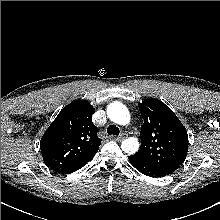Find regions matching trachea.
<instances>
[{"mask_svg": "<svg viewBox=\"0 0 220 220\" xmlns=\"http://www.w3.org/2000/svg\"><path fill=\"white\" fill-rule=\"evenodd\" d=\"M107 133H108V134H112V135L118 136L119 133H120V131H119V128H118V127H116V126H114V125H110V126H108V128H107Z\"/></svg>", "mask_w": 220, "mask_h": 220, "instance_id": "3493384b", "label": "trachea"}]
</instances>
